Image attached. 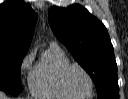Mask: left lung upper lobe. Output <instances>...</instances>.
<instances>
[{
    "label": "left lung upper lobe",
    "mask_w": 128,
    "mask_h": 99,
    "mask_svg": "<svg viewBox=\"0 0 128 99\" xmlns=\"http://www.w3.org/2000/svg\"><path fill=\"white\" fill-rule=\"evenodd\" d=\"M48 16L55 36L91 76L98 99L107 92L117 91V64L104 24L79 4L67 8L53 6Z\"/></svg>",
    "instance_id": "left-lung-upper-lobe-1"
}]
</instances>
